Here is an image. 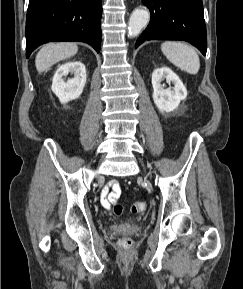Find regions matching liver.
I'll list each match as a JSON object with an SVG mask.
<instances>
[{"mask_svg":"<svg viewBox=\"0 0 243 289\" xmlns=\"http://www.w3.org/2000/svg\"><path fill=\"white\" fill-rule=\"evenodd\" d=\"M78 51L75 43H48L37 53L35 66L39 73L47 71L55 63L74 56Z\"/></svg>","mask_w":243,"mask_h":289,"instance_id":"liver-1","label":"liver"}]
</instances>
